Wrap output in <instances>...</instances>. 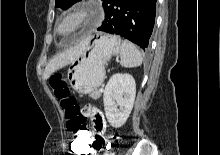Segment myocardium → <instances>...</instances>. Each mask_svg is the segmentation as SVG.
Segmentation results:
<instances>
[{
	"label": "myocardium",
	"mask_w": 220,
	"mask_h": 155,
	"mask_svg": "<svg viewBox=\"0 0 220 155\" xmlns=\"http://www.w3.org/2000/svg\"><path fill=\"white\" fill-rule=\"evenodd\" d=\"M98 14V6L94 0H86L85 2L74 6L73 8L62 12L55 21L54 31L60 36H67L77 33L90 25ZM72 20L75 25L68 33L59 31V25L63 21Z\"/></svg>",
	"instance_id": "myocardium-1"
}]
</instances>
